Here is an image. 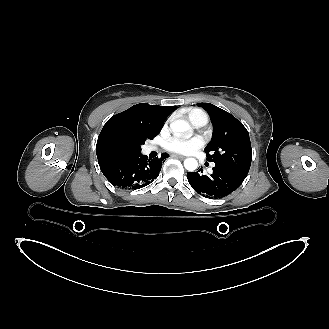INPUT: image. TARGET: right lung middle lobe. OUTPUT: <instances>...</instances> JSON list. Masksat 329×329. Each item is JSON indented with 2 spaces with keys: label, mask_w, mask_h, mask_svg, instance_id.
Segmentation results:
<instances>
[{
  "label": "right lung middle lobe",
  "mask_w": 329,
  "mask_h": 329,
  "mask_svg": "<svg viewBox=\"0 0 329 329\" xmlns=\"http://www.w3.org/2000/svg\"><path fill=\"white\" fill-rule=\"evenodd\" d=\"M145 141H146V140L144 139V140H142V141L137 145V147H136V152H141V145L144 144Z\"/></svg>",
  "instance_id": "dd1d6c3e"
}]
</instances>
